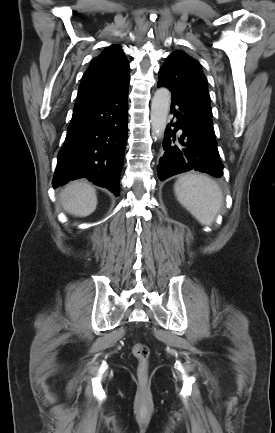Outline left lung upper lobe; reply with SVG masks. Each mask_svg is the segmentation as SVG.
I'll return each instance as SVG.
<instances>
[{
  "label": "left lung upper lobe",
  "mask_w": 275,
  "mask_h": 433,
  "mask_svg": "<svg viewBox=\"0 0 275 433\" xmlns=\"http://www.w3.org/2000/svg\"><path fill=\"white\" fill-rule=\"evenodd\" d=\"M158 81L165 82L171 90L182 95L201 119L213 126L207 80L199 62L181 51H175L160 68Z\"/></svg>",
  "instance_id": "5c2ea615"
}]
</instances>
